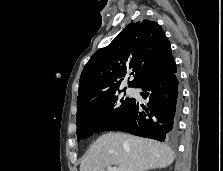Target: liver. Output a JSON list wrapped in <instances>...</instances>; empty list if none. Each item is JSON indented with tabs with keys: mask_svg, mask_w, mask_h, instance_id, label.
<instances>
[{
	"mask_svg": "<svg viewBox=\"0 0 223 171\" xmlns=\"http://www.w3.org/2000/svg\"><path fill=\"white\" fill-rule=\"evenodd\" d=\"M175 158L172 149L156 140L123 133H106L90 147L80 171H147L169 166Z\"/></svg>",
	"mask_w": 223,
	"mask_h": 171,
	"instance_id": "liver-1",
	"label": "liver"
}]
</instances>
